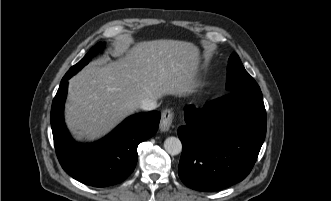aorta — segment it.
Instances as JSON below:
<instances>
[{
    "instance_id": "762f6f07",
    "label": "aorta",
    "mask_w": 331,
    "mask_h": 201,
    "mask_svg": "<svg viewBox=\"0 0 331 201\" xmlns=\"http://www.w3.org/2000/svg\"><path fill=\"white\" fill-rule=\"evenodd\" d=\"M164 149L170 155H178L182 151V143L177 137H168L164 141Z\"/></svg>"
}]
</instances>
